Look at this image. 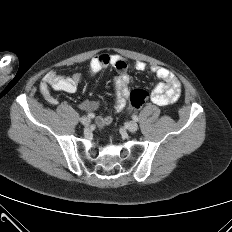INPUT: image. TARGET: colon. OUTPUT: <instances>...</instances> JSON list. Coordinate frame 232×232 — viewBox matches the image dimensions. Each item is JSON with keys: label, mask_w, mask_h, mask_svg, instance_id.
<instances>
[{"label": "colon", "mask_w": 232, "mask_h": 232, "mask_svg": "<svg viewBox=\"0 0 232 232\" xmlns=\"http://www.w3.org/2000/svg\"><path fill=\"white\" fill-rule=\"evenodd\" d=\"M149 97V93L144 89H134L130 93V102L124 109V114H129L133 108L138 109L142 107Z\"/></svg>", "instance_id": "colon-1"}]
</instances>
